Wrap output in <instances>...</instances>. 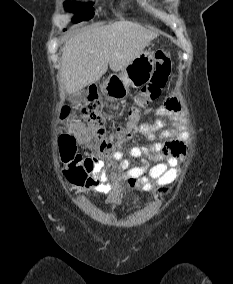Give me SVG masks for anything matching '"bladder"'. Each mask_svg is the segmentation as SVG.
<instances>
[{
  "label": "bladder",
  "mask_w": 233,
  "mask_h": 284,
  "mask_svg": "<svg viewBox=\"0 0 233 284\" xmlns=\"http://www.w3.org/2000/svg\"><path fill=\"white\" fill-rule=\"evenodd\" d=\"M140 204V199L138 196H133L131 206L132 208H137Z\"/></svg>",
  "instance_id": "1"
}]
</instances>
